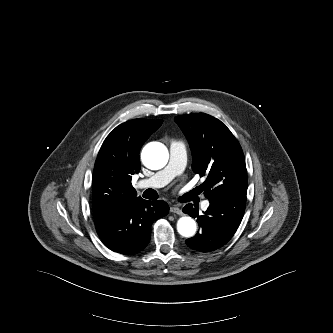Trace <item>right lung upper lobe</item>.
Here are the masks:
<instances>
[{
	"mask_svg": "<svg viewBox=\"0 0 333 333\" xmlns=\"http://www.w3.org/2000/svg\"><path fill=\"white\" fill-rule=\"evenodd\" d=\"M162 120L134 119L117 126L105 139L93 173V201L127 204L136 196L132 175L141 168L139 151Z\"/></svg>",
	"mask_w": 333,
	"mask_h": 333,
	"instance_id": "right-lung-upper-lobe-1",
	"label": "right lung upper lobe"
}]
</instances>
